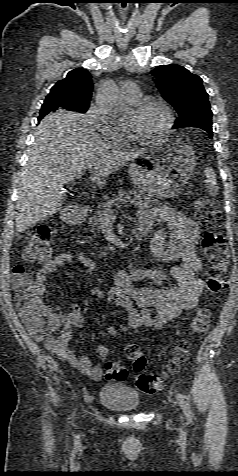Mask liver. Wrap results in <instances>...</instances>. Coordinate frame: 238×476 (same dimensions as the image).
I'll return each mask as SVG.
<instances>
[{
  "mask_svg": "<svg viewBox=\"0 0 238 476\" xmlns=\"http://www.w3.org/2000/svg\"><path fill=\"white\" fill-rule=\"evenodd\" d=\"M144 151L115 150L99 138L86 115L65 111L46 115L35 129V141L20 176L16 232L57 213L65 197L63 187L77 173L90 169V179L101 187L110 174Z\"/></svg>",
  "mask_w": 238,
  "mask_h": 476,
  "instance_id": "6515ba94",
  "label": "liver"
}]
</instances>
